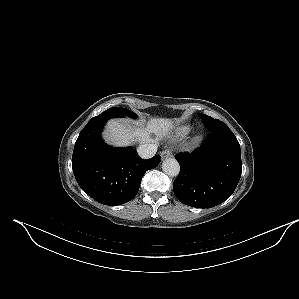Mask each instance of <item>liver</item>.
<instances>
[{
  "instance_id": "1",
  "label": "liver",
  "mask_w": 299,
  "mask_h": 299,
  "mask_svg": "<svg viewBox=\"0 0 299 299\" xmlns=\"http://www.w3.org/2000/svg\"><path fill=\"white\" fill-rule=\"evenodd\" d=\"M172 127V120L165 118H153L145 128H136L125 122L111 120L107 124L104 137L115 146H127L137 141L144 144L159 141ZM152 134L155 135V139L151 137Z\"/></svg>"
}]
</instances>
